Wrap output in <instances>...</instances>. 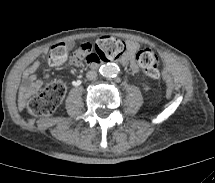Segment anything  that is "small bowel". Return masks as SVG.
Returning a JSON list of instances; mask_svg holds the SVG:
<instances>
[{
    "mask_svg": "<svg viewBox=\"0 0 215 183\" xmlns=\"http://www.w3.org/2000/svg\"><path fill=\"white\" fill-rule=\"evenodd\" d=\"M139 50V45L134 41H127L126 52L121 59V63L128 66L130 70L136 71L135 56ZM83 60L82 55L75 53L71 57L72 64H78ZM39 63L32 65L26 72L20 85L19 103L24 107L31 96L36 94L42 87V81L36 76Z\"/></svg>",
    "mask_w": 215,
    "mask_h": 183,
    "instance_id": "1",
    "label": "small bowel"
}]
</instances>
